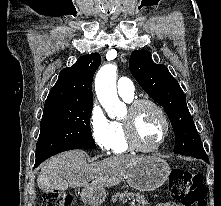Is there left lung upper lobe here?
Returning <instances> with one entry per match:
<instances>
[{
	"label": "left lung upper lobe",
	"instance_id": "1",
	"mask_svg": "<svg viewBox=\"0 0 221 206\" xmlns=\"http://www.w3.org/2000/svg\"><path fill=\"white\" fill-rule=\"evenodd\" d=\"M129 67L140 86L165 108L175 132L174 153L195 157L206 156L188 110L185 94L167 67L155 64L151 53L146 50L133 51Z\"/></svg>",
	"mask_w": 221,
	"mask_h": 206
}]
</instances>
